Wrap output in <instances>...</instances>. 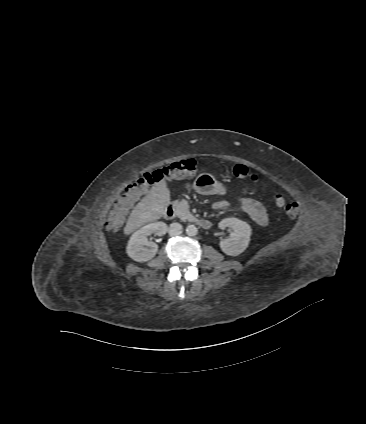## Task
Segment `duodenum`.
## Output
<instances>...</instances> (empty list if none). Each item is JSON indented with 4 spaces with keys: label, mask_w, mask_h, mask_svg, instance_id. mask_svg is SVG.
<instances>
[{
    "label": "duodenum",
    "mask_w": 366,
    "mask_h": 424,
    "mask_svg": "<svg viewBox=\"0 0 366 424\" xmlns=\"http://www.w3.org/2000/svg\"><path fill=\"white\" fill-rule=\"evenodd\" d=\"M177 215V209L173 204H168L164 211V216L166 219H173ZM195 223L203 229H209L211 227V222L207 219H197Z\"/></svg>",
    "instance_id": "duodenum-1"
}]
</instances>
